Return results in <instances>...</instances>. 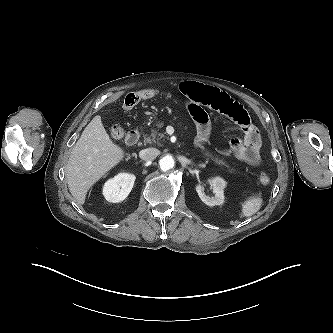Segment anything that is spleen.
Wrapping results in <instances>:
<instances>
[{"label":"spleen","mask_w":333,"mask_h":333,"mask_svg":"<svg viewBox=\"0 0 333 333\" xmlns=\"http://www.w3.org/2000/svg\"><path fill=\"white\" fill-rule=\"evenodd\" d=\"M262 204V199L259 197H252L246 200L242 205V216L250 217L259 211Z\"/></svg>","instance_id":"obj_1"}]
</instances>
